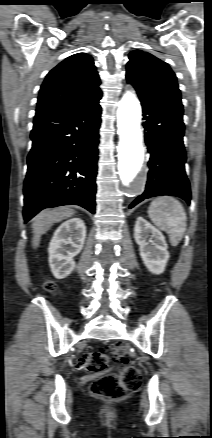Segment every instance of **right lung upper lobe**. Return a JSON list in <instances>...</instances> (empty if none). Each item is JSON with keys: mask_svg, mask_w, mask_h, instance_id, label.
Wrapping results in <instances>:
<instances>
[{"mask_svg": "<svg viewBox=\"0 0 212 438\" xmlns=\"http://www.w3.org/2000/svg\"><path fill=\"white\" fill-rule=\"evenodd\" d=\"M100 78L90 55L79 53L62 61L46 76L36 116L78 108L101 99Z\"/></svg>", "mask_w": 212, "mask_h": 438, "instance_id": "right-lung-upper-lobe-1", "label": "right lung upper lobe"}]
</instances>
